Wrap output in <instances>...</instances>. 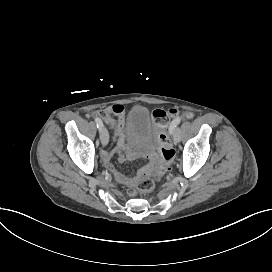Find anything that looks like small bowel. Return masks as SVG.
<instances>
[{"mask_svg":"<svg viewBox=\"0 0 272 272\" xmlns=\"http://www.w3.org/2000/svg\"><path fill=\"white\" fill-rule=\"evenodd\" d=\"M125 109L120 104L107 107L103 112V120L112 130L113 149L104 151L102 153V159L107 171L113 174L115 180L118 182L117 172L119 171L111 162L112 157L116 156L117 160L121 163L132 161L137 158H142L150 163L154 162L157 153L151 148H143L140 150L130 151L126 143V135L124 133L125 126ZM149 164H144L140 168H147ZM139 168V169H140Z\"/></svg>","mask_w":272,"mask_h":272,"instance_id":"1","label":"small bowel"}]
</instances>
